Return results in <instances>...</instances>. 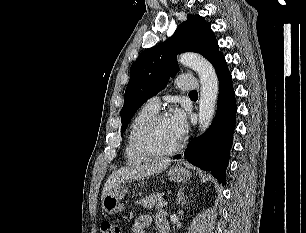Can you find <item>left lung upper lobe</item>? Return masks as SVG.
Masks as SVG:
<instances>
[{"mask_svg":"<svg viewBox=\"0 0 306 233\" xmlns=\"http://www.w3.org/2000/svg\"><path fill=\"white\" fill-rule=\"evenodd\" d=\"M186 51L197 52L211 63L221 55L211 25L199 15H188L187 20L178 26L168 40L144 50L131 65L130 81L120 113L121 134L137 109L162 90L170 76L176 74L179 70L176 56Z\"/></svg>","mask_w":306,"mask_h":233,"instance_id":"5c2ea615","label":"left lung upper lobe"}]
</instances>
